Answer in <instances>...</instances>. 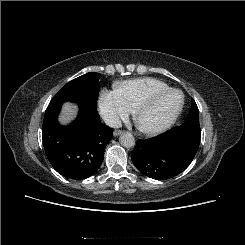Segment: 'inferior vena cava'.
Listing matches in <instances>:
<instances>
[{
	"mask_svg": "<svg viewBox=\"0 0 245 245\" xmlns=\"http://www.w3.org/2000/svg\"><path fill=\"white\" fill-rule=\"evenodd\" d=\"M106 125L112 128H120L122 126L121 120L116 115H107L104 117Z\"/></svg>",
	"mask_w": 245,
	"mask_h": 245,
	"instance_id": "inferior-vena-cava-1",
	"label": "inferior vena cava"
}]
</instances>
